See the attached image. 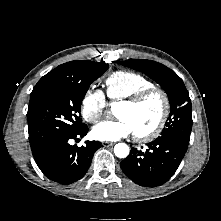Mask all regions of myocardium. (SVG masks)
Instances as JSON below:
<instances>
[{"label":"myocardium","instance_id":"f54148a6","mask_svg":"<svg viewBox=\"0 0 221 221\" xmlns=\"http://www.w3.org/2000/svg\"><path fill=\"white\" fill-rule=\"evenodd\" d=\"M159 96L162 100V113L160 118L153 129L146 133H136L134 137L138 142H150L157 138L163 131L166 121L170 113V99L165 90L159 87H151L145 89L129 98L123 99L118 102V105H127L130 107H138L152 96Z\"/></svg>","mask_w":221,"mask_h":221}]
</instances>
